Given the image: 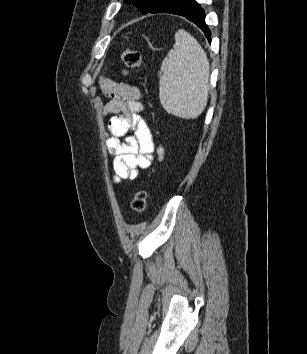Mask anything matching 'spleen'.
<instances>
[{
	"label": "spleen",
	"instance_id": "obj_1",
	"mask_svg": "<svg viewBox=\"0 0 307 354\" xmlns=\"http://www.w3.org/2000/svg\"><path fill=\"white\" fill-rule=\"evenodd\" d=\"M209 69L207 55L197 40L184 30L176 32L173 49L158 73L163 108L180 118H197L208 101Z\"/></svg>",
	"mask_w": 307,
	"mask_h": 354
}]
</instances>
